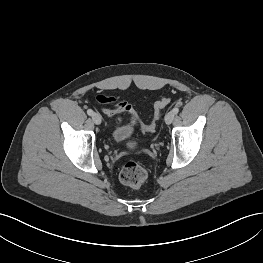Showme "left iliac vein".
<instances>
[{
    "label": "left iliac vein",
    "instance_id": "left-iliac-vein-1",
    "mask_svg": "<svg viewBox=\"0 0 263 263\" xmlns=\"http://www.w3.org/2000/svg\"><path fill=\"white\" fill-rule=\"evenodd\" d=\"M174 117H175V114L172 111L168 112L165 115V123L166 124H171L172 121L174 120Z\"/></svg>",
    "mask_w": 263,
    "mask_h": 263
}]
</instances>
